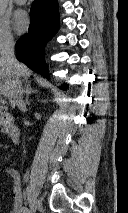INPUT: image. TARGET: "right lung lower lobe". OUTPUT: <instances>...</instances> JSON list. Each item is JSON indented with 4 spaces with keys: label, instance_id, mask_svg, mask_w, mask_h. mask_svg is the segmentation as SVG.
I'll return each instance as SVG.
<instances>
[{
    "label": "right lung lower lobe",
    "instance_id": "right-lung-lower-lobe-1",
    "mask_svg": "<svg viewBox=\"0 0 128 213\" xmlns=\"http://www.w3.org/2000/svg\"><path fill=\"white\" fill-rule=\"evenodd\" d=\"M30 11L31 24L28 33L16 42V55L30 69L48 78L43 51L59 27L57 0H34ZM62 88L67 89V86Z\"/></svg>",
    "mask_w": 128,
    "mask_h": 213
}]
</instances>
